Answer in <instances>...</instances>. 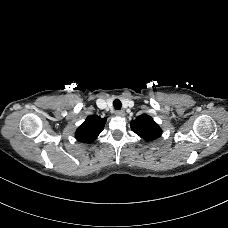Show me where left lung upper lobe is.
Returning <instances> with one entry per match:
<instances>
[{"label":"left lung upper lobe","instance_id":"5c2ea615","mask_svg":"<svg viewBox=\"0 0 228 228\" xmlns=\"http://www.w3.org/2000/svg\"><path fill=\"white\" fill-rule=\"evenodd\" d=\"M131 129L141 138L146 141H151L159 138L162 130L153 118L147 114L138 116L130 123Z\"/></svg>","mask_w":228,"mask_h":228}]
</instances>
